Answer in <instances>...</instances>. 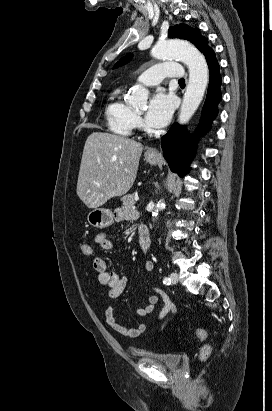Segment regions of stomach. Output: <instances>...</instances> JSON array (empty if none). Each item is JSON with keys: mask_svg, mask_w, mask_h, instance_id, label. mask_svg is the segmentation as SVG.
I'll use <instances>...</instances> for the list:
<instances>
[{"mask_svg": "<svg viewBox=\"0 0 272 411\" xmlns=\"http://www.w3.org/2000/svg\"><path fill=\"white\" fill-rule=\"evenodd\" d=\"M145 160L154 165L157 163L158 158L156 156L146 154ZM87 221L90 225L96 228H106L111 226L114 222V216L111 210L105 208H94L87 215Z\"/></svg>", "mask_w": 272, "mask_h": 411, "instance_id": "0dacf381", "label": "stomach"}]
</instances>
